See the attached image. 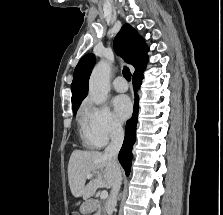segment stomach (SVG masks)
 <instances>
[{
    "label": "stomach",
    "mask_w": 223,
    "mask_h": 215,
    "mask_svg": "<svg viewBox=\"0 0 223 215\" xmlns=\"http://www.w3.org/2000/svg\"><path fill=\"white\" fill-rule=\"evenodd\" d=\"M94 203L92 202H85L82 203L81 207H80V211L81 213H91L92 209L90 208Z\"/></svg>",
    "instance_id": "obj_1"
}]
</instances>
